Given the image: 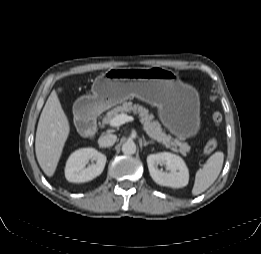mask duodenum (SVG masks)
<instances>
[{
  "label": "duodenum",
  "mask_w": 261,
  "mask_h": 254,
  "mask_svg": "<svg viewBox=\"0 0 261 254\" xmlns=\"http://www.w3.org/2000/svg\"><path fill=\"white\" fill-rule=\"evenodd\" d=\"M76 122L83 134L94 136L97 131V111L87 104H80L76 112Z\"/></svg>",
  "instance_id": "duodenum-1"
}]
</instances>
